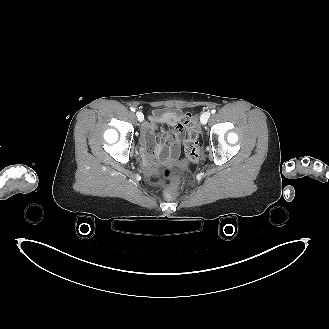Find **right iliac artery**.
<instances>
[{"label":"right iliac artery","instance_id":"1","mask_svg":"<svg viewBox=\"0 0 329 329\" xmlns=\"http://www.w3.org/2000/svg\"><path fill=\"white\" fill-rule=\"evenodd\" d=\"M131 111H132V112H135V108H131Z\"/></svg>","mask_w":329,"mask_h":329}]
</instances>
